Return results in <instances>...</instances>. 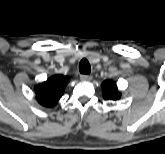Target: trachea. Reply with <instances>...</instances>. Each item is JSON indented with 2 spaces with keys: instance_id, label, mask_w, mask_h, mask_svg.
<instances>
[{
  "instance_id": "3493384b",
  "label": "trachea",
  "mask_w": 165,
  "mask_h": 154,
  "mask_svg": "<svg viewBox=\"0 0 165 154\" xmlns=\"http://www.w3.org/2000/svg\"><path fill=\"white\" fill-rule=\"evenodd\" d=\"M91 70L90 64L87 59L83 58L79 63V71L81 74H89Z\"/></svg>"
}]
</instances>
